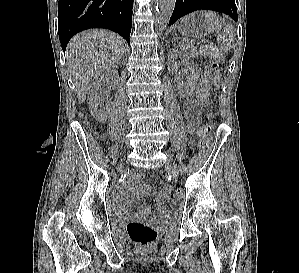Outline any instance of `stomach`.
Instances as JSON below:
<instances>
[{"label":"stomach","mask_w":299,"mask_h":273,"mask_svg":"<svg viewBox=\"0 0 299 273\" xmlns=\"http://www.w3.org/2000/svg\"><path fill=\"white\" fill-rule=\"evenodd\" d=\"M178 31L182 35L196 38L214 32L212 27L209 26L199 13L183 18L178 25Z\"/></svg>","instance_id":"obj_1"}]
</instances>
